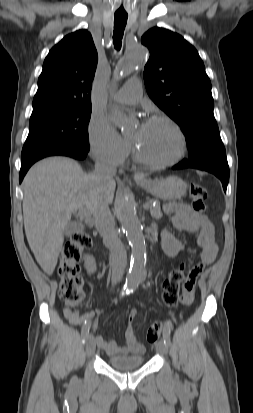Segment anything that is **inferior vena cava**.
<instances>
[{
    "instance_id": "1",
    "label": "inferior vena cava",
    "mask_w": 253,
    "mask_h": 413,
    "mask_svg": "<svg viewBox=\"0 0 253 413\" xmlns=\"http://www.w3.org/2000/svg\"><path fill=\"white\" fill-rule=\"evenodd\" d=\"M96 178L107 183L113 180L116 168L111 166L105 159H96ZM96 228L103 237L104 244L110 249L112 256V285H116L122 278L127 265L126 250L115 230V222L107 204H103L95 214Z\"/></svg>"
}]
</instances>
